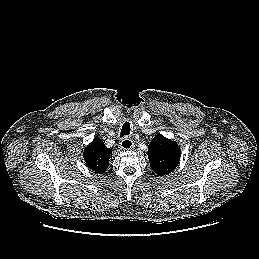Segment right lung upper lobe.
Wrapping results in <instances>:
<instances>
[{
	"label": "right lung upper lobe",
	"instance_id": "1",
	"mask_svg": "<svg viewBox=\"0 0 259 259\" xmlns=\"http://www.w3.org/2000/svg\"><path fill=\"white\" fill-rule=\"evenodd\" d=\"M111 152L112 149L107 148L99 137H95L85 148L83 158L90 169L103 173L108 168Z\"/></svg>",
	"mask_w": 259,
	"mask_h": 259
}]
</instances>
